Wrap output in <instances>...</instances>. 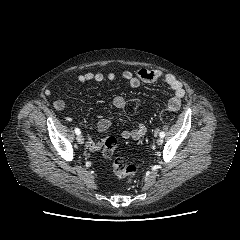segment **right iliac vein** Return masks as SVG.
Listing matches in <instances>:
<instances>
[{"mask_svg":"<svg viewBox=\"0 0 240 240\" xmlns=\"http://www.w3.org/2000/svg\"><path fill=\"white\" fill-rule=\"evenodd\" d=\"M76 139H77V142H78L79 144H83V143H84V138H83L82 135H80V134L77 135Z\"/></svg>","mask_w":240,"mask_h":240,"instance_id":"obj_1","label":"right iliac vein"}]
</instances>
